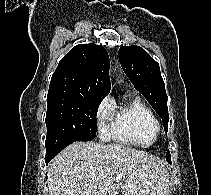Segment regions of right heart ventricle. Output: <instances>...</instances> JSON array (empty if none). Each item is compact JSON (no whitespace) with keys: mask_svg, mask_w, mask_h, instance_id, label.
<instances>
[{"mask_svg":"<svg viewBox=\"0 0 211 195\" xmlns=\"http://www.w3.org/2000/svg\"><path fill=\"white\" fill-rule=\"evenodd\" d=\"M159 131V122L139 98H133L120 109L113 106L110 136L126 145L147 148L152 146Z\"/></svg>","mask_w":211,"mask_h":195,"instance_id":"1","label":"right heart ventricle"}]
</instances>
